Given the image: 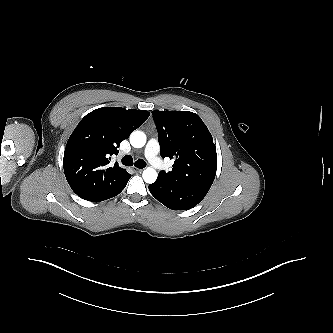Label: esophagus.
I'll list each match as a JSON object with an SVG mask.
<instances>
[{"instance_id": "34e87169", "label": "esophagus", "mask_w": 333, "mask_h": 333, "mask_svg": "<svg viewBox=\"0 0 333 333\" xmlns=\"http://www.w3.org/2000/svg\"><path fill=\"white\" fill-rule=\"evenodd\" d=\"M134 170H135L136 172H139V173H141V172L143 171V169H139V168H134Z\"/></svg>"}]
</instances>
